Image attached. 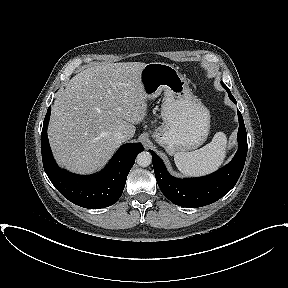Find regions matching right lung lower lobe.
Segmentation results:
<instances>
[{"mask_svg":"<svg viewBox=\"0 0 288 288\" xmlns=\"http://www.w3.org/2000/svg\"><path fill=\"white\" fill-rule=\"evenodd\" d=\"M51 106L48 108L42 133L41 152L44 170L55 188L72 203L99 209L113 205L121 196L128 173L136 156L143 151L140 143L123 145L105 169L97 174L81 176L60 169L53 159L47 137Z\"/></svg>","mask_w":288,"mask_h":288,"instance_id":"98d812e1","label":"right lung lower lobe"}]
</instances>
